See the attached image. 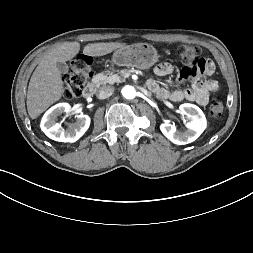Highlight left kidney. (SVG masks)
<instances>
[{"mask_svg":"<svg viewBox=\"0 0 253 253\" xmlns=\"http://www.w3.org/2000/svg\"><path fill=\"white\" fill-rule=\"evenodd\" d=\"M179 109L190 119V122L186 124L187 130L179 132L174 125L169 123H162L160 130L174 144L185 145L195 141L203 133L207 127V120L202 110L194 104L184 103Z\"/></svg>","mask_w":253,"mask_h":253,"instance_id":"left-kidney-1","label":"left kidney"}]
</instances>
